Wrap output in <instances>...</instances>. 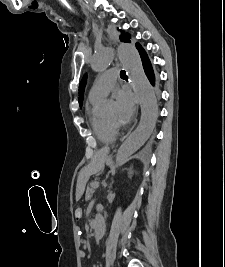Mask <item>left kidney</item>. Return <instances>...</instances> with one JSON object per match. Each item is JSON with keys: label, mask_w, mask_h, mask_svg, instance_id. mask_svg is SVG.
I'll return each mask as SVG.
<instances>
[{"label": "left kidney", "mask_w": 225, "mask_h": 267, "mask_svg": "<svg viewBox=\"0 0 225 267\" xmlns=\"http://www.w3.org/2000/svg\"><path fill=\"white\" fill-rule=\"evenodd\" d=\"M129 177L131 178V175L133 174L132 170L129 171Z\"/></svg>", "instance_id": "obj_1"}]
</instances>
